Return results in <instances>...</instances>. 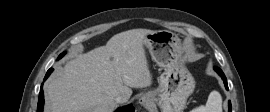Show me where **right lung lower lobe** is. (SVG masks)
Masks as SVG:
<instances>
[{
	"label": "right lung lower lobe",
	"instance_id": "right-lung-lower-lobe-1",
	"mask_svg": "<svg viewBox=\"0 0 270 112\" xmlns=\"http://www.w3.org/2000/svg\"><path fill=\"white\" fill-rule=\"evenodd\" d=\"M53 70H54L53 68H50L47 71L44 80H46L49 77V75L53 72ZM43 104H44V94H43V89L41 86L39 98H38L37 112H43ZM115 112H134V107L132 105L124 106V107L118 108Z\"/></svg>",
	"mask_w": 270,
	"mask_h": 112
}]
</instances>
